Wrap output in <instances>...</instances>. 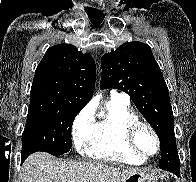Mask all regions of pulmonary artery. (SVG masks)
Returning a JSON list of instances; mask_svg holds the SVG:
<instances>
[{
	"instance_id": "e3ab8cb5",
	"label": "pulmonary artery",
	"mask_w": 196,
	"mask_h": 182,
	"mask_svg": "<svg viewBox=\"0 0 196 182\" xmlns=\"http://www.w3.org/2000/svg\"><path fill=\"white\" fill-rule=\"evenodd\" d=\"M111 96L112 97H117V98H121V99H124V100H126V101H128V96L126 95V94H123V93H118V92H116V91H112L111 92Z\"/></svg>"
}]
</instances>
